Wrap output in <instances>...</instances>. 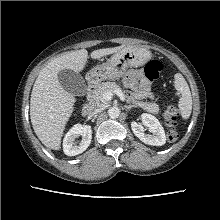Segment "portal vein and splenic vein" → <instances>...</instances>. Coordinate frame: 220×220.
<instances>
[{"instance_id":"18ae733b","label":"portal vein and splenic vein","mask_w":220,"mask_h":220,"mask_svg":"<svg viewBox=\"0 0 220 220\" xmlns=\"http://www.w3.org/2000/svg\"><path fill=\"white\" fill-rule=\"evenodd\" d=\"M113 94H116L122 101L125 100V96H124L123 92L120 89L105 92L104 95H103V99L106 100V101H109V100L112 99Z\"/></svg>"}]
</instances>
